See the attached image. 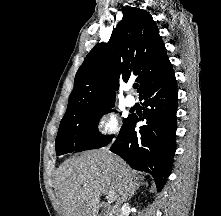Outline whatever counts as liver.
I'll return each instance as SVG.
<instances>
[{
  "mask_svg": "<svg viewBox=\"0 0 221 216\" xmlns=\"http://www.w3.org/2000/svg\"><path fill=\"white\" fill-rule=\"evenodd\" d=\"M56 174L62 216H98L102 193L113 195L117 209L131 199L144 179L107 149L72 157Z\"/></svg>",
  "mask_w": 221,
  "mask_h": 216,
  "instance_id": "liver-1",
  "label": "liver"
}]
</instances>
